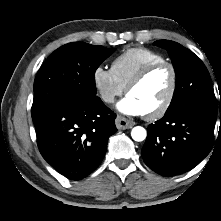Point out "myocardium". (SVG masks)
I'll use <instances>...</instances> for the list:
<instances>
[{
    "label": "myocardium",
    "mask_w": 221,
    "mask_h": 221,
    "mask_svg": "<svg viewBox=\"0 0 221 221\" xmlns=\"http://www.w3.org/2000/svg\"><path fill=\"white\" fill-rule=\"evenodd\" d=\"M161 67L169 68V70L171 72V84H170L169 91H168L164 101L162 102V104L158 108H156L155 110L145 113V117L147 119H151V120L162 117L168 111V109L170 108V106L173 102V99L175 97V93L177 90V82H178V75H177V70H176L175 66L168 61H160V62L151 63V64L145 66L144 68H142L130 80V82L126 86V92L129 94V92L133 88H135L141 82H143L153 71H155L156 69L161 68Z\"/></svg>",
    "instance_id": "myocardium-1"
}]
</instances>
